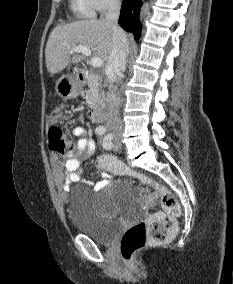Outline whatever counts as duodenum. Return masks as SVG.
Returning a JSON list of instances; mask_svg holds the SVG:
<instances>
[{"mask_svg": "<svg viewBox=\"0 0 233 284\" xmlns=\"http://www.w3.org/2000/svg\"><path fill=\"white\" fill-rule=\"evenodd\" d=\"M78 77L80 80H84L85 79V73L83 71H80L78 73ZM88 115L89 118L92 122H94L95 124H102L103 122V113H102V106L98 103L92 104L88 110Z\"/></svg>", "mask_w": 233, "mask_h": 284, "instance_id": "1", "label": "duodenum"}]
</instances>
